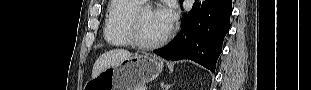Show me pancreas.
<instances>
[{
	"label": "pancreas",
	"instance_id": "1",
	"mask_svg": "<svg viewBox=\"0 0 311 90\" xmlns=\"http://www.w3.org/2000/svg\"><path fill=\"white\" fill-rule=\"evenodd\" d=\"M138 90H144V88H143V87H141V88H139Z\"/></svg>",
	"mask_w": 311,
	"mask_h": 90
}]
</instances>
